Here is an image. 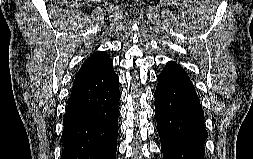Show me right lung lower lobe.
Listing matches in <instances>:
<instances>
[{"label":"right lung lower lobe","instance_id":"obj_1","mask_svg":"<svg viewBox=\"0 0 253 159\" xmlns=\"http://www.w3.org/2000/svg\"><path fill=\"white\" fill-rule=\"evenodd\" d=\"M118 83L113 62L73 83L63 119L61 159H116Z\"/></svg>","mask_w":253,"mask_h":159}]
</instances>
